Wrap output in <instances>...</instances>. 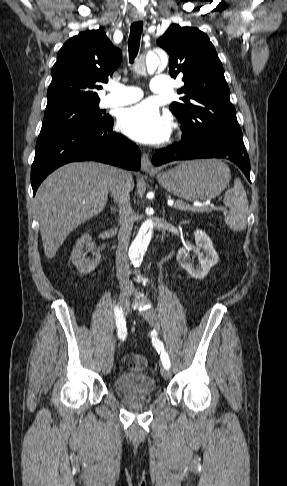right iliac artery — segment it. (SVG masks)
<instances>
[{
	"label": "right iliac artery",
	"mask_w": 287,
	"mask_h": 486,
	"mask_svg": "<svg viewBox=\"0 0 287 486\" xmlns=\"http://www.w3.org/2000/svg\"><path fill=\"white\" fill-rule=\"evenodd\" d=\"M115 316H116V326L118 329V337L122 340L126 337V321L122 314V309L118 307L115 308Z\"/></svg>",
	"instance_id": "1"
}]
</instances>
